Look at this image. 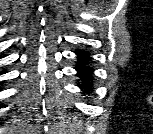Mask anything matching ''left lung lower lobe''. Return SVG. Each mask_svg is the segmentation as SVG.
Listing matches in <instances>:
<instances>
[{"label":"left lung lower lobe","mask_w":153,"mask_h":134,"mask_svg":"<svg viewBox=\"0 0 153 134\" xmlns=\"http://www.w3.org/2000/svg\"><path fill=\"white\" fill-rule=\"evenodd\" d=\"M75 53L78 58V65L75 67V69L77 70V76L81 81L78 86L81 88V90H84V93H90L93 89L92 74L94 72V69L90 66L92 58L87 51H76Z\"/></svg>","instance_id":"1"}]
</instances>
